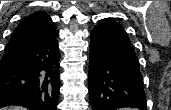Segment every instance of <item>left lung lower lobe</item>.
<instances>
[{
    "label": "left lung lower lobe",
    "instance_id": "obj_1",
    "mask_svg": "<svg viewBox=\"0 0 171 110\" xmlns=\"http://www.w3.org/2000/svg\"><path fill=\"white\" fill-rule=\"evenodd\" d=\"M138 58L123 27L102 19L91 32L89 96L92 110L136 107L146 110Z\"/></svg>",
    "mask_w": 171,
    "mask_h": 110
}]
</instances>
